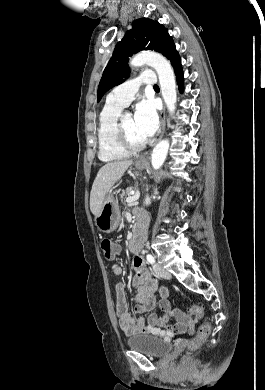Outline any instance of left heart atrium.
<instances>
[{
    "mask_svg": "<svg viewBox=\"0 0 265 390\" xmlns=\"http://www.w3.org/2000/svg\"><path fill=\"white\" fill-rule=\"evenodd\" d=\"M133 118L136 130L144 140H147L156 132L159 121L151 101L140 102L136 107Z\"/></svg>",
    "mask_w": 265,
    "mask_h": 390,
    "instance_id": "left-heart-atrium-1",
    "label": "left heart atrium"
}]
</instances>
